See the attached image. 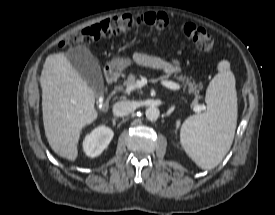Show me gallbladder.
<instances>
[{
	"instance_id": "bac80fb5",
	"label": "gallbladder",
	"mask_w": 275,
	"mask_h": 215,
	"mask_svg": "<svg viewBox=\"0 0 275 215\" xmlns=\"http://www.w3.org/2000/svg\"><path fill=\"white\" fill-rule=\"evenodd\" d=\"M65 55L92 89L101 90L104 87L100 65L87 47L79 45L70 48Z\"/></svg>"
}]
</instances>
